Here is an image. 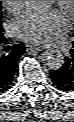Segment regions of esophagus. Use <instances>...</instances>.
Returning a JSON list of instances; mask_svg holds the SVG:
<instances>
[{"label":"esophagus","mask_w":74,"mask_h":122,"mask_svg":"<svg viewBox=\"0 0 74 122\" xmlns=\"http://www.w3.org/2000/svg\"><path fill=\"white\" fill-rule=\"evenodd\" d=\"M47 47L44 45H27L26 46V50L27 51H43L45 50Z\"/></svg>","instance_id":"obj_1"}]
</instances>
